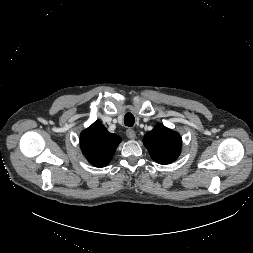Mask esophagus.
Here are the masks:
<instances>
[{
	"label": "esophagus",
	"instance_id": "1",
	"mask_svg": "<svg viewBox=\"0 0 253 253\" xmlns=\"http://www.w3.org/2000/svg\"><path fill=\"white\" fill-rule=\"evenodd\" d=\"M126 135L129 139H135L136 138V133L132 129H127Z\"/></svg>",
	"mask_w": 253,
	"mask_h": 253
}]
</instances>
